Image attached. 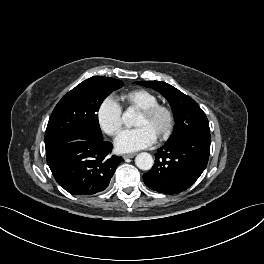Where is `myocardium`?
<instances>
[{"label":"myocardium","mask_w":264,"mask_h":264,"mask_svg":"<svg viewBox=\"0 0 264 264\" xmlns=\"http://www.w3.org/2000/svg\"><path fill=\"white\" fill-rule=\"evenodd\" d=\"M140 114L146 118H153L159 114H163L166 119V124L162 133L157 136V139L163 141L170 137L174 128V113L169 106L161 103H156L152 106L140 110Z\"/></svg>","instance_id":"myocardium-1"}]
</instances>
